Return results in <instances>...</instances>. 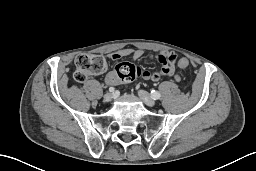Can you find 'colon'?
<instances>
[{
	"mask_svg": "<svg viewBox=\"0 0 256 171\" xmlns=\"http://www.w3.org/2000/svg\"><path fill=\"white\" fill-rule=\"evenodd\" d=\"M170 63L175 62V58L168 59ZM185 60H179L178 66L184 67ZM75 72L74 78L78 82H83L90 75L102 74L107 69V62L104 57L93 54H81L74 60ZM116 75L119 79L125 82L133 81L143 75L140 67L129 62H123L115 68Z\"/></svg>",
	"mask_w": 256,
	"mask_h": 171,
	"instance_id": "5ec220e1",
	"label": "colon"
}]
</instances>
